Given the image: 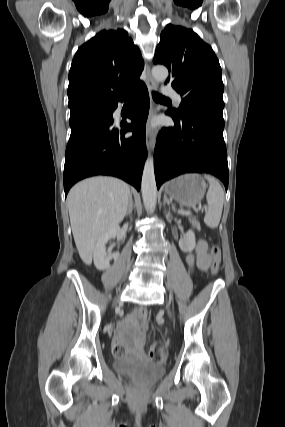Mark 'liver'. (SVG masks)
<instances>
[{"label":"liver","instance_id":"1","mask_svg":"<svg viewBox=\"0 0 285 427\" xmlns=\"http://www.w3.org/2000/svg\"><path fill=\"white\" fill-rule=\"evenodd\" d=\"M130 195L124 181L103 176L83 180L69 191L72 233L85 264L92 263L96 242L124 219Z\"/></svg>","mask_w":285,"mask_h":427}]
</instances>
